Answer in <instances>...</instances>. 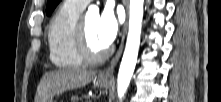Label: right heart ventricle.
I'll return each instance as SVG.
<instances>
[{
  "mask_svg": "<svg viewBox=\"0 0 221 102\" xmlns=\"http://www.w3.org/2000/svg\"><path fill=\"white\" fill-rule=\"evenodd\" d=\"M84 6L66 0L53 16L47 31L51 62L60 68H75L83 64L76 46V32Z\"/></svg>",
  "mask_w": 221,
  "mask_h": 102,
  "instance_id": "right-heart-ventricle-1",
  "label": "right heart ventricle"
}]
</instances>
